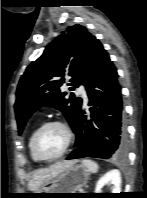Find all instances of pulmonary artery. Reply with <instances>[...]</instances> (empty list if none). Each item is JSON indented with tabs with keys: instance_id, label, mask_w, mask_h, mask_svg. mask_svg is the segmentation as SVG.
Returning a JSON list of instances; mask_svg holds the SVG:
<instances>
[{
	"instance_id": "e3ab8cb5",
	"label": "pulmonary artery",
	"mask_w": 147,
	"mask_h": 198,
	"mask_svg": "<svg viewBox=\"0 0 147 198\" xmlns=\"http://www.w3.org/2000/svg\"><path fill=\"white\" fill-rule=\"evenodd\" d=\"M78 94L82 97L84 103L87 104L88 103V96H87L86 90L83 86H80L78 88Z\"/></svg>"
}]
</instances>
